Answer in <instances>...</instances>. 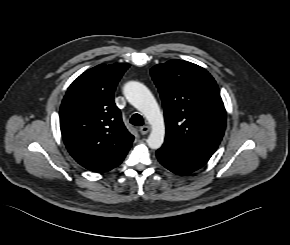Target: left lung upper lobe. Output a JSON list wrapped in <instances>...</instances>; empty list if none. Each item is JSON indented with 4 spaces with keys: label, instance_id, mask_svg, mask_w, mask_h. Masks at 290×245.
Returning a JSON list of instances; mask_svg holds the SVG:
<instances>
[{
    "label": "left lung upper lobe",
    "instance_id": "5c2ea615",
    "mask_svg": "<svg viewBox=\"0 0 290 245\" xmlns=\"http://www.w3.org/2000/svg\"><path fill=\"white\" fill-rule=\"evenodd\" d=\"M151 76L164 107V144L209 160L226 125V111L213 77L196 64L176 59L154 66Z\"/></svg>",
    "mask_w": 290,
    "mask_h": 245
}]
</instances>
